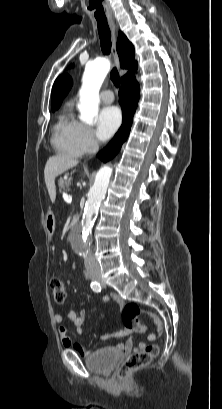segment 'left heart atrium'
I'll list each match as a JSON object with an SVG mask.
<instances>
[{
	"mask_svg": "<svg viewBox=\"0 0 222 409\" xmlns=\"http://www.w3.org/2000/svg\"><path fill=\"white\" fill-rule=\"evenodd\" d=\"M121 123V113L115 106L101 109L97 119L96 134L100 140H107L113 136Z\"/></svg>",
	"mask_w": 222,
	"mask_h": 409,
	"instance_id": "1",
	"label": "left heart atrium"
}]
</instances>
